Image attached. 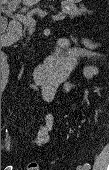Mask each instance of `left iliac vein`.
Returning a JSON list of instances; mask_svg holds the SVG:
<instances>
[{
    "mask_svg": "<svg viewBox=\"0 0 109 170\" xmlns=\"http://www.w3.org/2000/svg\"><path fill=\"white\" fill-rule=\"evenodd\" d=\"M77 170H83V166H78Z\"/></svg>",
    "mask_w": 109,
    "mask_h": 170,
    "instance_id": "left-iliac-vein-1",
    "label": "left iliac vein"
}]
</instances>
